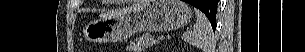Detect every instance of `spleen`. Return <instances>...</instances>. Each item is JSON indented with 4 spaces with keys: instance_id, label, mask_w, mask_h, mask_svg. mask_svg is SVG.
Returning a JSON list of instances; mask_svg holds the SVG:
<instances>
[{
    "instance_id": "3e777b00",
    "label": "spleen",
    "mask_w": 305,
    "mask_h": 52,
    "mask_svg": "<svg viewBox=\"0 0 305 52\" xmlns=\"http://www.w3.org/2000/svg\"><path fill=\"white\" fill-rule=\"evenodd\" d=\"M197 21L192 31H187L182 35V39L187 43L210 52L213 42V31L207 17L200 10L195 9Z\"/></svg>"
}]
</instances>
